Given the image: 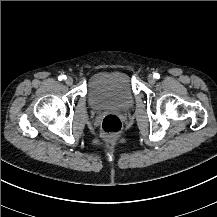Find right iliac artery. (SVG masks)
<instances>
[{
  "label": "right iliac artery",
  "instance_id": "right-iliac-artery-1",
  "mask_svg": "<svg viewBox=\"0 0 217 217\" xmlns=\"http://www.w3.org/2000/svg\"><path fill=\"white\" fill-rule=\"evenodd\" d=\"M63 79H67V77H66L65 75H62V76H59V77H58V80H59V81H61V80H63Z\"/></svg>",
  "mask_w": 217,
  "mask_h": 217
}]
</instances>
